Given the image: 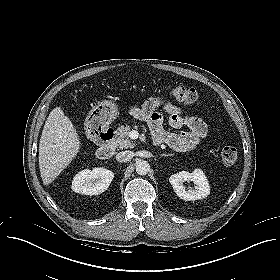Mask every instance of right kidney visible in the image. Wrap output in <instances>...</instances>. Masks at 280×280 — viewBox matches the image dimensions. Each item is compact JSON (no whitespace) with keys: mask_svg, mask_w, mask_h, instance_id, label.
<instances>
[{"mask_svg":"<svg viewBox=\"0 0 280 280\" xmlns=\"http://www.w3.org/2000/svg\"><path fill=\"white\" fill-rule=\"evenodd\" d=\"M114 178V173L105 168L85 169L75 175L72 190L84 195H98L107 190Z\"/></svg>","mask_w":280,"mask_h":280,"instance_id":"ca27d5eb","label":"right kidney"}]
</instances>
